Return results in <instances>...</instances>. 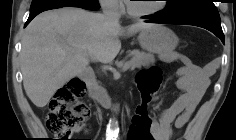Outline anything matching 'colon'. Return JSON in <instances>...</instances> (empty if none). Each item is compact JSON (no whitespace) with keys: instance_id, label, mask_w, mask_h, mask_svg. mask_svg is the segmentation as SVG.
Here are the masks:
<instances>
[{"instance_id":"colon-1","label":"colon","mask_w":236,"mask_h":140,"mask_svg":"<svg viewBox=\"0 0 236 140\" xmlns=\"http://www.w3.org/2000/svg\"><path fill=\"white\" fill-rule=\"evenodd\" d=\"M160 86V71L152 67L138 78L140 102L127 130L126 140H153L150 107ZM86 91L85 84L73 78L61 86L50 100L46 125L55 140H70L72 134L81 131L88 117L87 108L80 102Z\"/></svg>"}]
</instances>
